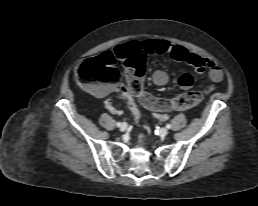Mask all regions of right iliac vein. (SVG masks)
<instances>
[{"mask_svg":"<svg viewBox=\"0 0 258 206\" xmlns=\"http://www.w3.org/2000/svg\"><path fill=\"white\" fill-rule=\"evenodd\" d=\"M127 129V124L126 123H123L121 126H120V131H125Z\"/></svg>","mask_w":258,"mask_h":206,"instance_id":"63e3f726","label":"right iliac vein"}]
</instances>
